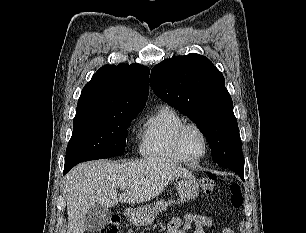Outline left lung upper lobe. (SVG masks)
Here are the masks:
<instances>
[{
	"mask_svg": "<svg viewBox=\"0 0 306 233\" xmlns=\"http://www.w3.org/2000/svg\"><path fill=\"white\" fill-rule=\"evenodd\" d=\"M151 85L159 98L197 124L214 163L244 169L232 99L222 73L208 58L192 53L166 59L152 69Z\"/></svg>",
	"mask_w": 306,
	"mask_h": 233,
	"instance_id": "obj_1",
	"label": "left lung upper lobe"
}]
</instances>
